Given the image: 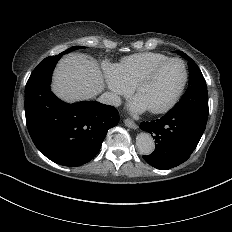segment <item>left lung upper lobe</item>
I'll use <instances>...</instances> for the list:
<instances>
[{"mask_svg":"<svg viewBox=\"0 0 232 232\" xmlns=\"http://www.w3.org/2000/svg\"><path fill=\"white\" fill-rule=\"evenodd\" d=\"M188 60L189 85L180 101L170 110L171 112H186L207 122L208 91L206 81L197 64L184 52L175 51Z\"/></svg>","mask_w":232,"mask_h":232,"instance_id":"left-lung-upper-lobe-1","label":"left lung upper lobe"}]
</instances>
